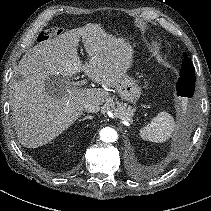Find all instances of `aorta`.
I'll list each match as a JSON object with an SVG mask.
<instances>
[{
	"mask_svg": "<svg viewBox=\"0 0 211 211\" xmlns=\"http://www.w3.org/2000/svg\"><path fill=\"white\" fill-rule=\"evenodd\" d=\"M100 139L106 143L115 142L118 140V133L111 127H105L100 130Z\"/></svg>",
	"mask_w": 211,
	"mask_h": 211,
	"instance_id": "obj_1",
	"label": "aorta"
}]
</instances>
